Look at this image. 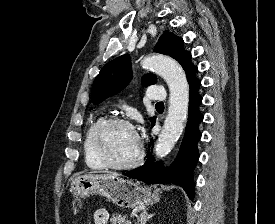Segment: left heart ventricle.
Listing matches in <instances>:
<instances>
[{"mask_svg":"<svg viewBox=\"0 0 275 224\" xmlns=\"http://www.w3.org/2000/svg\"><path fill=\"white\" fill-rule=\"evenodd\" d=\"M104 144L109 156L116 163H126L134 159L139 146L136 132L124 125H115L108 129Z\"/></svg>","mask_w":275,"mask_h":224,"instance_id":"obj_1","label":"left heart ventricle"}]
</instances>
